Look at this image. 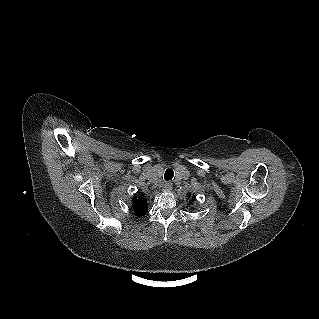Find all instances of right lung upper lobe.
Segmentation results:
<instances>
[{"mask_svg":"<svg viewBox=\"0 0 319 319\" xmlns=\"http://www.w3.org/2000/svg\"><path fill=\"white\" fill-rule=\"evenodd\" d=\"M133 209L137 216H143L147 212V200L134 196L133 198Z\"/></svg>","mask_w":319,"mask_h":319,"instance_id":"obj_1","label":"right lung upper lobe"}]
</instances>
